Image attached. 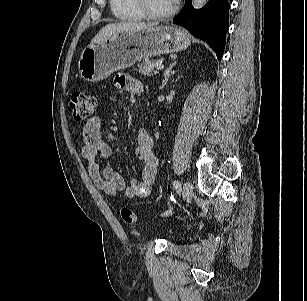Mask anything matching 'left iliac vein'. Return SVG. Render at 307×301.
Returning a JSON list of instances; mask_svg holds the SVG:
<instances>
[{
	"instance_id": "left-iliac-vein-1",
	"label": "left iliac vein",
	"mask_w": 307,
	"mask_h": 301,
	"mask_svg": "<svg viewBox=\"0 0 307 301\" xmlns=\"http://www.w3.org/2000/svg\"><path fill=\"white\" fill-rule=\"evenodd\" d=\"M183 198L185 201L189 202L192 197V185L189 181L183 184Z\"/></svg>"
}]
</instances>
